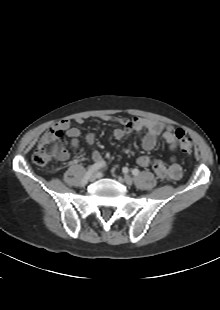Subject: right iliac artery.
<instances>
[{"label":"right iliac artery","instance_id":"obj_1","mask_svg":"<svg viewBox=\"0 0 220 310\" xmlns=\"http://www.w3.org/2000/svg\"><path fill=\"white\" fill-rule=\"evenodd\" d=\"M102 167V164L100 163H95L93 165H91L89 168H88V171L86 172L84 178L81 180L80 182V186L83 187L87 184V181L89 179V177L95 173L96 171H98L100 168Z\"/></svg>","mask_w":220,"mask_h":310}]
</instances>
